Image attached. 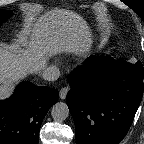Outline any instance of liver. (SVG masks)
Wrapping results in <instances>:
<instances>
[{"mask_svg": "<svg viewBox=\"0 0 144 144\" xmlns=\"http://www.w3.org/2000/svg\"><path fill=\"white\" fill-rule=\"evenodd\" d=\"M23 27L19 44H0V99L10 96L14 83L41 72L49 57L85 55L91 48L88 24L70 10L55 8L40 16L28 14Z\"/></svg>", "mask_w": 144, "mask_h": 144, "instance_id": "6515ba94", "label": "liver"}]
</instances>
